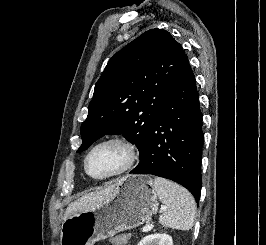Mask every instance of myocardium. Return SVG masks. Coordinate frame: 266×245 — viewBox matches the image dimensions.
<instances>
[{"label":"myocardium","mask_w":266,"mask_h":245,"mask_svg":"<svg viewBox=\"0 0 266 245\" xmlns=\"http://www.w3.org/2000/svg\"><path fill=\"white\" fill-rule=\"evenodd\" d=\"M106 143H119L121 145H123L127 151V163L124 166L123 169H121L119 172L112 174L110 176H106V177H96L91 175L88 170H87V161L89 156L91 155V153L99 146L106 144ZM139 157V151L137 146L131 142L130 140L121 137V136H109V137H105L99 141H97L95 144H93L85 153V156L83 158V171L86 174L87 177H89L90 179L96 180V181H109V180H114V179H118L124 175H126L127 173H129L130 171H132V169L134 168V166L137 163Z\"/></svg>","instance_id":"1"}]
</instances>
